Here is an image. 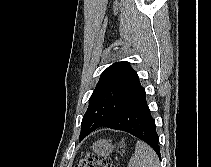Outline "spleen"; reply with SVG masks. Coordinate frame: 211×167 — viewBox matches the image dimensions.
I'll list each match as a JSON object with an SVG mask.
<instances>
[{"label":"spleen","instance_id":"spleen-1","mask_svg":"<svg viewBox=\"0 0 211 167\" xmlns=\"http://www.w3.org/2000/svg\"><path fill=\"white\" fill-rule=\"evenodd\" d=\"M157 154L150 146L142 141H137L135 153L129 160L128 167H159Z\"/></svg>","mask_w":211,"mask_h":167}]
</instances>
